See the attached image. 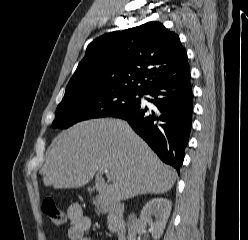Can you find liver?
I'll return each instance as SVG.
<instances>
[{
    "instance_id": "obj_1",
    "label": "liver",
    "mask_w": 248,
    "mask_h": 240,
    "mask_svg": "<svg viewBox=\"0 0 248 240\" xmlns=\"http://www.w3.org/2000/svg\"><path fill=\"white\" fill-rule=\"evenodd\" d=\"M109 171L106 183L102 178ZM45 186L78 188L95 178L103 202L116 203L140 194H163L176 171L120 119H93L62 131L53 141L41 170Z\"/></svg>"
}]
</instances>
